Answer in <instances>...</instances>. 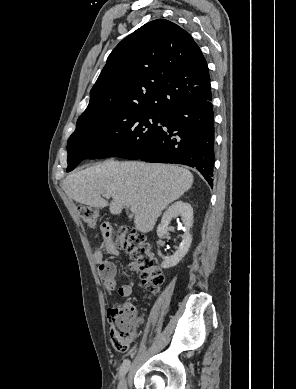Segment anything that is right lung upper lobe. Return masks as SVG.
Masks as SVG:
<instances>
[{"instance_id": "obj_1", "label": "right lung upper lobe", "mask_w": 296, "mask_h": 389, "mask_svg": "<svg viewBox=\"0 0 296 389\" xmlns=\"http://www.w3.org/2000/svg\"><path fill=\"white\" fill-rule=\"evenodd\" d=\"M208 96L209 69L200 48L187 31L157 19L114 48L79 118L115 108L167 115Z\"/></svg>"}]
</instances>
